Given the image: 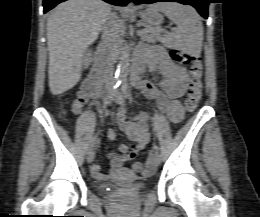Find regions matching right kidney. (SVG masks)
Listing matches in <instances>:
<instances>
[{"instance_id":"1","label":"right kidney","mask_w":260,"mask_h":217,"mask_svg":"<svg viewBox=\"0 0 260 217\" xmlns=\"http://www.w3.org/2000/svg\"><path fill=\"white\" fill-rule=\"evenodd\" d=\"M91 61H92L91 53H90V51H88L86 53V56H84V60H83V64H84L85 68H87L90 65Z\"/></svg>"}]
</instances>
